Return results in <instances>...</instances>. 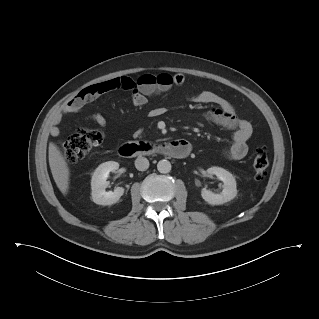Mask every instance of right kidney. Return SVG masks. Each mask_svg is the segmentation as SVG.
<instances>
[{"instance_id":"ca27d5eb","label":"right kidney","mask_w":319,"mask_h":319,"mask_svg":"<svg viewBox=\"0 0 319 319\" xmlns=\"http://www.w3.org/2000/svg\"><path fill=\"white\" fill-rule=\"evenodd\" d=\"M119 168V164L115 161H108L100 164L93 173L91 179L92 199L93 202L99 205H112L119 201L124 194L123 187H117L114 191H106L108 186V175L110 172H115Z\"/></svg>"}]
</instances>
